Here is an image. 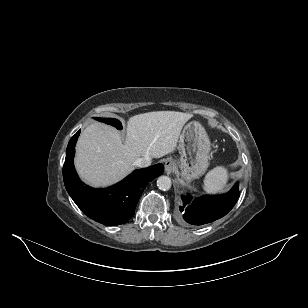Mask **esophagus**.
Returning <instances> with one entry per match:
<instances>
[{
  "label": "esophagus",
  "instance_id": "esophagus-1",
  "mask_svg": "<svg viewBox=\"0 0 308 308\" xmlns=\"http://www.w3.org/2000/svg\"><path fill=\"white\" fill-rule=\"evenodd\" d=\"M165 171L167 174H171L172 172H174L175 168H176V164L174 162V160L172 159H168L165 162Z\"/></svg>",
  "mask_w": 308,
  "mask_h": 308
}]
</instances>
